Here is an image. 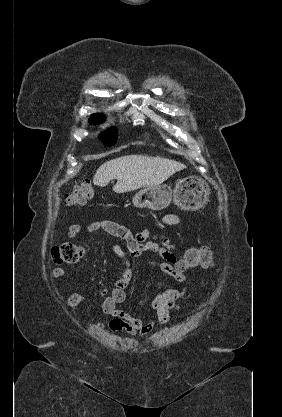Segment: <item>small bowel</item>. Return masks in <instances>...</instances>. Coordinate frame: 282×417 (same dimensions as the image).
I'll list each match as a JSON object with an SVG mask.
<instances>
[{
	"label": "small bowel",
	"mask_w": 282,
	"mask_h": 417,
	"mask_svg": "<svg viewBox=\"0 0 282 417\" xmlns=\"http://www.w3.org/2000/svg\"><path fill=\"white\" fill-rule=\"evenodd\" d=\"M161 223L168 226H177L181 224V217L175 213H167L161 217ZM82 231V226L79 223H73L68 230V237L75 238ZM87 231L104 232L108 235L122 239L127 244L128 254L124 249L115 244L112 246V252L116 258L124 266L121 277L115 282L110 290H105L100 293V298H103V312L112 317L109 322V329L112 332H126L131 336H139L144 338L153 331L157 324L163 325L170 321V312L178 310V301L186 298L188 289H165L155 296L151 303V308L154 317L149 320H141L130 313L117 307L125 298V289L133 278V271L129 257L140 258L146 252H153L160 256L162 261L148 259L145 264L157 268L174 277V272L177 269V258L175 255V246L170 240L160 234H156L149 228H145L139 232L132 233L124 225L113 220H97L91 222ZM68 272L62 267L52 269L50 276L52 279H60L66 277ZM184 279H178L185 282ZM85 300V296L79 292L71 293L67 299L66 304L71 308H75Z\"/></svg>",
	"instance_id": "obj_1"
}]
</instances>
